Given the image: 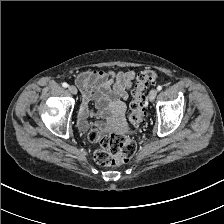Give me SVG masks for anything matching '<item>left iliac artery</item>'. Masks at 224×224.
<instances>
[{"label":"left iliac artery","instance_id":"obj_1","mask_svg":"<svg viewBox=\"0 0 224 224\" xmlns=\"http://www.w3.org/2000/svg\"><path fill=\"white\" fill-rule=\"evenodd\" d=\"M157 90H158V91L162 90V86H161V85H158V86H157Z\"/></svg>","mask_w":224,"mask_h":224}]
</instances>
